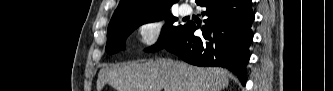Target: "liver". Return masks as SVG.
I'll return each mask as SVG.
<instances>
[{"instance_id": "liver-1", "label": "liver", "mask_w": 333, "mask_h": 91, "mask_svg": "<svg viewBox=\"0 0 333 91\" xmlns=\"http://www.w3.org/2000/svg\"><path fill=\"white\" fill-rule=\"evenodd\" d=\"M110 84L116 91H221L229 84L228 71L204 68L181 61L159 59L102 68L97 91Z\"/></svg>"}]
</instances>
